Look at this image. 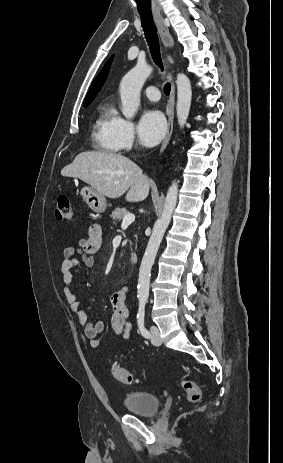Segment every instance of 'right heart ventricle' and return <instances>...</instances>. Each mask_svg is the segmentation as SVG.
I'll use <instances>...</instances> for the list:
<instances>
[{"mask_svg":"<svg viewBox=\"0 0 283 463\" xmlns=\"http://www.w3.org/2000/svg\"><path fill=\"white\" fill-rule=\"evenodd\" d=\"M118 115L112 107H106L99 113L93 128L94 146L106 153H116L121 146L117 138L116 125Z\"/></svg>","mask_w":283,"mask_h":463,"instance_id":"e07e8e85","label":"right heart ventricle"}]
</instances>
